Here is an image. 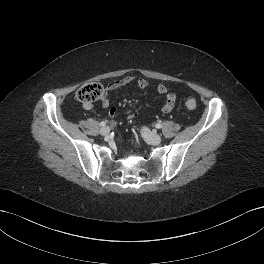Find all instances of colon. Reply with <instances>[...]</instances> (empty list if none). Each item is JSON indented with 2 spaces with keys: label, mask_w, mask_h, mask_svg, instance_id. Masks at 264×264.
Returning <instances> with one entry per match:
<instances>
[{
  "label": "colon",
  "mask_w": 264,
  "mask_h": 264,
  "mask_svg": "<svg viewBox=\"0 0 264 264\" xmlns=\"http://www.w3.org/2000/svg\"><path fill=\"white\" fill-rule=\"evenodd\" d=\"M76 96L82 103H92L104 96V87L100 83H88L78 89ZM185 105L188 109L192 110L196 108L197 103L194 99H188Z\"/></svg>",
  "instance_id": "colon-1"
}]
</instances>
